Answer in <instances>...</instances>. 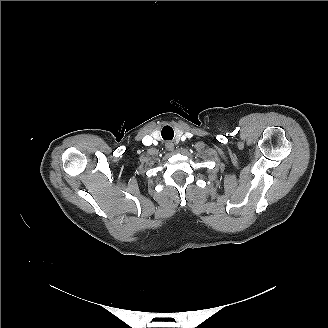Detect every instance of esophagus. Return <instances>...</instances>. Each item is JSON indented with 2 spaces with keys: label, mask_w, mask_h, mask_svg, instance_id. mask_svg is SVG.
<instances>
[{
  "label": "esophagus",
  "mask_w": 328,
  "mask_h": 328,
  "mask_svg": "<svg viewBox=\"0 0 328 328\" xmlns=\"http://www.w3.org/2000/svg\"><path fill=\"white\" fill-rule=\"evenodd\" d=\"M165 147L167 150L171 151L174 149V144L172 142H166Z\"/></svg>",
  "instance_id": "obj_1"
}]
</instances>
